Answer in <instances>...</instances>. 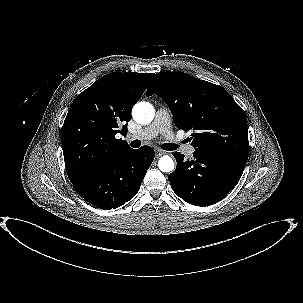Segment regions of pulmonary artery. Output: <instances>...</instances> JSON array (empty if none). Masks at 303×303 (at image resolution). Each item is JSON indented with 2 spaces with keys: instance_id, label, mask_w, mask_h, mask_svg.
<instances>
[{
  "instance_id": "obj_1",
  "label": "pulmonary artery",
  "mask_w": 303,
  "mask_h": 303,
  "mask_svg": "<svg viewBox=\"0 0 303 303\" xmlns=\"http://www.w3.org/2000/svg\"><path fill=\"white\" fill-rule=\"evenodd\" d=\"M162 134L166 139L173 140L174 136L169 126V114L167 109L160 108L155 114L154 121L136 135H129V140H149L154 138L156 135ZM195 151L193 145H185L182 147V152L187 156H192Z\"/></svg>"
}]
</instances>
